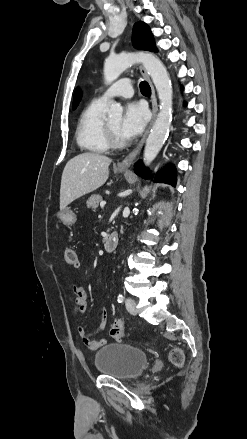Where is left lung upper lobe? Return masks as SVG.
Wrapping results in <instances>:
<instances>
[{
	"label": "left lung upper lobe",
	"instance_id": "left-lung-upper-lobe-1",
	"mask_svg": "<svg viewBox=\"0 0 247 439\" xmlns=\"http://www.w3.org/2000/svg\"><path fill=\"white\" fill-rule=\"evenodd\" d=\"M133 45L137 49L157 51L150 28L143 22H138L133 29Z\"/></svg>",
	"mask_w": 247,
	"mask_h": 439
}]
</instances>
